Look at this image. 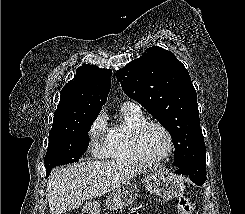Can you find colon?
I'll list each match as a JSON object with an SVG mask.
<instances>
[{
	"instance_id": "1",
	"label": "colon",
	"mask_w": 245,
	"mask_h": 214,
	"mask_svg": "<svg viewBox=\"0 0 245 214\" xmlns=\"http://www.w3.org/2000/svg\"><path fill=\"white\" fill-rule=\"evenodd\" d=\"M178 209L181 214H192L194 208L186 197L181 196L178 202Z\"/></svg>"
}]
</instances>
